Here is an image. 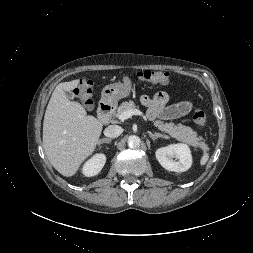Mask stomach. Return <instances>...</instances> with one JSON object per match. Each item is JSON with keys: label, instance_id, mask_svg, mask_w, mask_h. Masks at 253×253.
Wrapping results in <instances>:
<instances>
[{"label": "stomach", "instance_id": "obj_1", "mask_svg": "<svg viewBox=\"0 0 253 253\" xmlns=\"http://www.w3.org/2000/svg\"><path fill=\"white\" fill-rule=\"evenodd\" d=\"M123 81V83L105 86L101 92V100L105 103L115 104L120 99L128 97L131 91V82L127 76L123 78Z\"/></svg>", "mask_w": 253, "mask_h": 253}]
</instances>
